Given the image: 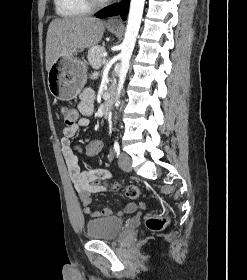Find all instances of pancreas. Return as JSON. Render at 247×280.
<instances>
[{"label":"pancreas","mask_w":247,"mask_h":280,"mask_svg":"<svg viewBox=\"0 0 247 280\" xmlns=\"http://www.w3.org/2000/svg\"><path fill=\"white\" fill-rule=\"evenodd\" d=\"M105 52V48L103 46H94L88 52V61L92 67L98 69L103 64V60L105 57L103 53Z\"/></svg>","instance_id":"pancreas-1"}]
</instances>
